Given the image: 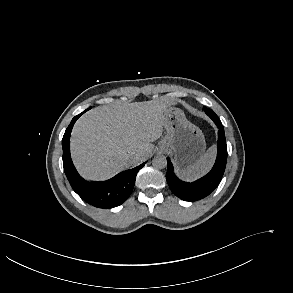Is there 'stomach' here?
Instances as JSON below:
<instances>
[{"label": "stomach", "mask_w": 293, "mask_h": 293, "mask_svg": "<svg viewBox=\"0 0 293 293\" xmlns=\"http://www.w3.org/2000/svg\"><path fill=\"white\" fill-rule=\"evenodd\" d=\"M163 119L166 136L160 142V149L173 156L178 169H187L205 152L204 134L180 109L170 108Z\"/></svg>", "instance_id": "obj_1"}]
</instances>
